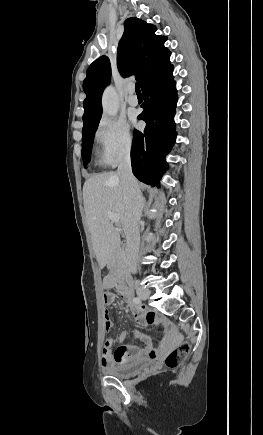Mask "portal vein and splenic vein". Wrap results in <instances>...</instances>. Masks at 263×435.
<instances>
[{"mask_svg": "<svg viewBox=\"0 0 263 435\" xmlns=\"http://www.w3.org/2000/svg\"><path fill=\"white\" fill-rule=\"evenodd\" d=\"M107 216L111 220V222H113V223H118L119 220H120V218H119V216L117 214H114V213H111V212H108Z\"/></svg>", "mask_w": 263, "mask_h": 435, "instance_id": "1", "label": "portal vein and splenic vein"}]
</instances>
